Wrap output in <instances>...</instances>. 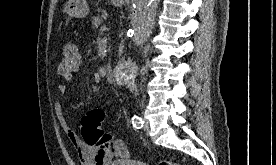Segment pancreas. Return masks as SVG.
<instances>
[{
  "instance_id": "1",
  "label": "pancreas",
  "mask_w": 276,
  "mask_h": 165,
  "mask_svg": "<svg viewBox=\"0 0 276 165\" xmlns=\"http://www.w3.org/2000/svg\"><path fill=\"white\" fill-rule=\"evenodd\" d=\"M103 23L102 17L100 16H96V17H92V28L93 29H97L98 27H100Z\"/></svg>"
}]
</instances>
